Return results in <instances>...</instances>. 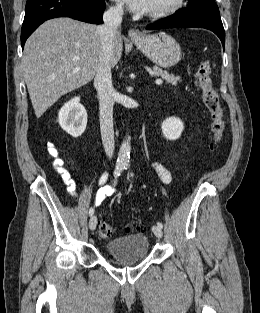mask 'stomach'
Here are the masks:
<instances>
[{
    "label": "stomach",
    "instance_id": "obj_1",
    "mask_svg": "<svg viewBox=\"0 0 260 313\" xmlns=\"http://www.w3.org/2000/svg\"><path fill=\"white\" fill-rule=\"evenodd\" d=\"M133 42L146 57L162 68L176 65L182 56L177 41L164 32L143 35L139 39H134Z\"/></svg>",
    "mask_w": 260,
    "mask_h": 313
}]
</instances>
